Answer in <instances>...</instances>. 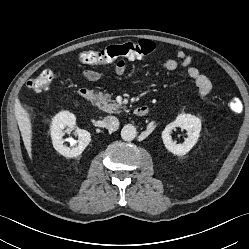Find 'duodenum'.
Here are the masks:
<instances>
[{"label": "duodenum", "instance_id": "duodenum-1", "mask_svg": "<svg viewBox=\"0 0 249 249\" xmlns=\"http://www.w3.org/2000/svg\"><path fill=\"white\" fill-rule=\"evenodd\" d=\"M79 95L82 99L86 101H93L95 99V92L87 87H82L79 89ZM149 111V107L147 105H139L135 108V115L138 117L145 116Z\"/></svg>", "mask_w": 249, "mask_h": 249}]
</instances>
